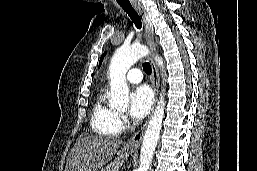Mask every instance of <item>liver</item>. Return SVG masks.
Listing matches in <instances>:
<instances>
[{
	"mask_svg": "<svg viewBox=\"0 0 257 171\" xmlns=\"http://www.w3.org/2000/svg\"><path fill=\"white\" fill-rule=\"evenodd\" d=\"M121 144L122 140L114 137L81 138L68 156L65 171H101Z\"/></svg>",
	"mask_w": 257,
	"mask_h": 171,
	"instance_id": "liver-1",
	"label": "liver"
}]
</instances>
